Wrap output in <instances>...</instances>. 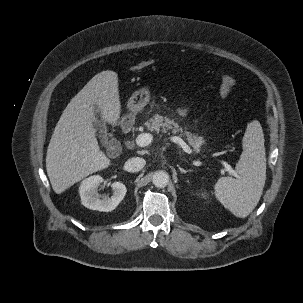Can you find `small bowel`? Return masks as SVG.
Masks as SVG:
<instances>
[{
    "label": "small bowel",
    "instance_id": "small-bowel-1",
    "mask_svg": "<svg viewBox=\"0 0 303 303\" xmlns=\"http://www.w3.org/2000/svg\"><path fill=\"white\" fill-rule=\"evenodd\" d=\"M185 110L184 109H182V110H180V114L182 115V116H184L185 115Z\"/></svg>",
    "mask_w": 303,
    "mask_h": 303
}]
</instances>
